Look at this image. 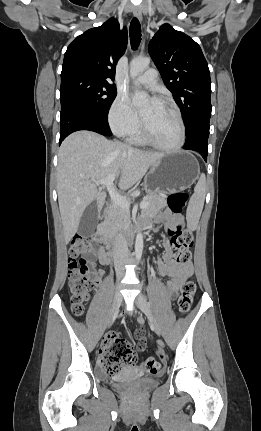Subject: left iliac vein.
Instances as JSON below:
<instances>
[{"label": "left iliac vein", "mask_w": 261, "mask_h": 431, "mask_svg": "<svg viewBox=\"0 0 261 431\" xmlns=\"http://www.w3.org/2000/svg\"><path fill=\"white\" fill-rule=\"evenodd\" d=\"M135 303L138 308L147 316L155 332L158 335H161V326L154 317L146 297L142 293H139L135 298Z\"/></svg>", "instance_id": "obj_1"}]
</instances>
